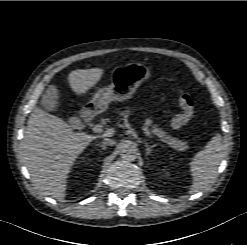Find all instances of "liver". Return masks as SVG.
<instances>
[{"instance_id":"1","label":"liver","mask_w":247,"mask_h":245,"mask_svg":"<svg viewBox=\"0 0 247 245\" xmlns=\"http://www.w3.org/2000/svg\"><path fill=\"white\" fill-rule=\"evenodd\" d=\"M103 73L101 68L74 70L67 77L68 84L76 95L81 96L100 81ZM114 133L115 130L109 128L101 137ZM95 139L96 136L74 132L61 118L35 108L29 116L23 143L24 163L35 187L62 201L75 160Z\"/></svg>"}]
</instances>
